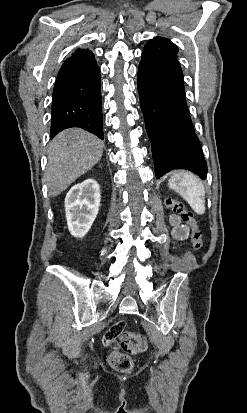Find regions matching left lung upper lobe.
Wrapping results in <instances>:
<instances>
[{
    "label": "left lung upper lobe",
    "instance_id": "5c2ea615",
    "mask_svg": "<svg viewBox=\"0 0 247 413\" xmlns=\"http://www.w3.org/2000/svg\"><path fill=\"white\" fill-rule=\"evenodd\" d=\"M145 47H154L157 49H161L165 52H168L174 56H176L178 52V47L171 42L170 40L162 37H155L154 40H150Z\"/></svg>",
    "mask_w": 247,
    "mask_h": 413
}]
</instances>
